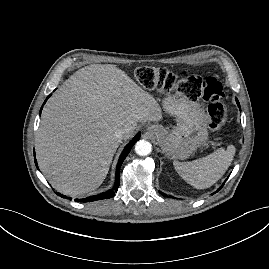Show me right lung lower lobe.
<instances>
[{"instance_id": "1", "label": "right lung lower lobe", "mask_w": 269, "mask_h": 269, "mask_svg": "<svg viewBox=\"0 0 269 269\" xmlns=\"http://www.w3.org/2000/svg\"><path fill=\"white\" fill-rule=\"evenodd\" d=\"M50 96L51 95H49L46 98L45 102L47 101V99ZM42 108H41L40 112L42 111ZM139 138H140V133H137L135 135V137L126 145V147L124 148L123 152L121 153L120 158H119V161H118V164H117V167H116V176H115V184H114V187L112 189H110L109 191H106L104 193H101V194H98V195H94V196H90V197H87V198H84V199H80L78 201H80V202H92V201H96V200L108 199V198H111V197H113L115 195V193L118 190L119 183H120V178H119L120 167H121L124 159L126 158V156L129 154L130 149L139 140ZM34 160H35V164L37 166L36 158H34ZM57 195H60V194L57 193ZM61 196H63V195H61ZM64 197H66V196H64ZM66 198H68V197H66ZM69 199H71V198H69Z\"/></svg>"}]
</instances>
